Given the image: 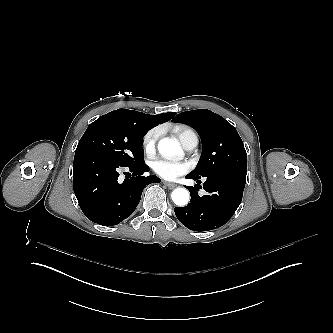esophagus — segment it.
I'll return each instance as SVG.
<instances>
[{
  "instance_id": "esophagus-1",
  "label": "esophagus",
  "mask_w": 333,
  "mask_h": 333,
  "mask_svg": "<svg viewBox=\"0 0 333 333\" xmlns=\"http://www.w3.org/2000/svg\"><path fill=\"white\" fill-rule=\"evenodd\" d=\"M165 184L170 190L174 189L177 186L175 183H170V182H165Z\"/></svg>"
}]
</instances>
